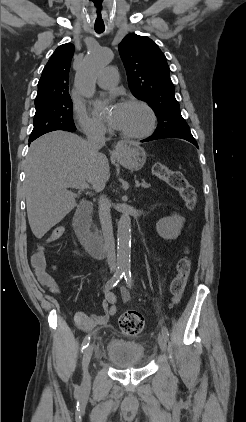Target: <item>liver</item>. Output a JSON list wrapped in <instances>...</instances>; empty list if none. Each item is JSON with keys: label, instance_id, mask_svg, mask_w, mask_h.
<instances>
[{"label": "liver", "instance_id": "6515ba94", "mask_svg": "<svg viewBox=\"0 0 246 422\" xmlns=\"http://www.w3.org/2000/svg\"><path fill=\"white\" fill-rule=\"evenodd\" d=\"M25 174L28 221L40 239L77 206L68 184L88 182L95 188L109 180L110 167L107 157L93 154L81 137L53 131L31 143Z\"/></svg>", "mask_w": 246, "mask_h": 422}]
</instances>
